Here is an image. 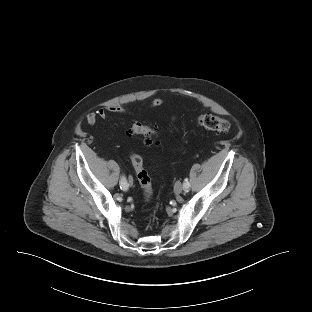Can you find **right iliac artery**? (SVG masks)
I'll return each instance as SVG.
<instances>
[{
  "label": "right iliac artery",
  "instance_id": "1",
  "mask_svg": "<svg viewBox=\"0 0 312 312\" xmlns=\"http://www.w3.org/2000/svg\"><path fill=\"white\" fill-rule=\"evenodd\" d=\"M120 188L122 190H127L128 189V183H127V180H126V178L124 176L121 177Z\"/></svg>",
  "mask_w": 312,
  "mask_h": 312
}]
</instances>
